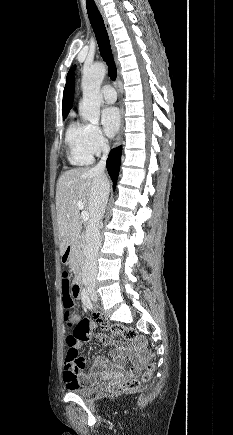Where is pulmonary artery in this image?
<instances>
[{"label": "pulmonary artery", "instance_id": "obj_1", "mask_svg": "<svg viewBox=\"0 0 233 435\" xmlns=\"http://www.w3.org/2000/svg\"><path fill=\"white\" fill-rule=\"evenodd\" d=\"M101 94L107 103H114L116 101V92L110 85H104L101 89Z\"/></svg>", "mask_w": 233, "mask_h": 435}]
</instances>
